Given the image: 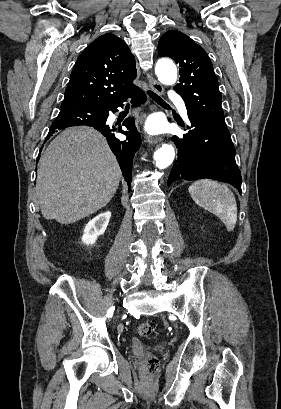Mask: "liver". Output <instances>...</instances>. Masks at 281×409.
I'll return each instance as SVG.
<instances>
[{"label":"liver","mask_w":281,"mask_h":409,"mask_svg":"<svg viewBox=\"0 0 281 409\" xmlns=\"http://www.w3.org/2000/svg\"><path fill=\"white\" fill-rule=\"evenodd\" d=\"M121 178L106 138L90 126L60 132L40 158L36 192L45 219L76 223L106 207Z\"/></svg>","instance_id":"liver-1"}]
</instances>
